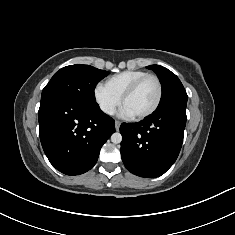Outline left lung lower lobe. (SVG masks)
<instances>
[{
	"label": "left lung lower lobe",
	"mask_w": 235,
	"mask_h": 235,
	"mask_svg": "<svg viewBox=\"0 0 235 235\" xmlns=\"http://www.w3.org/2000/svg\"><path fill=\"white\" fill-rule=\"evenodd\" d=\"M186 107L173 106L138 123H122L121 156L133 174L155 178L176 161L183 142Z\"/></svg>",
	"instance_id": "obj_1"
}]
</instances>
